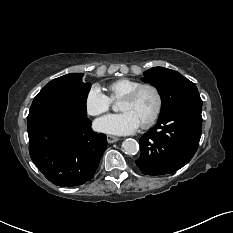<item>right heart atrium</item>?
I'll return each instance as SVG.
<instances>
[{
	"label": "right heart atrium",
	"mask_w": 233,
	"mask_h": 233,
	"mask_svg": "<svg viewBox=\"0 0 233 233\" xmlns=\"http://www.w3.org/2000/svg\"><path fill=\"white\" fill-rule=\"evenodd\" d=\"M111 99L105 95L99 85H92L85 97V108L89 115L99 116L110 109Z\"/></svg>",
	"instance_id": "1"
}]
</instances>
